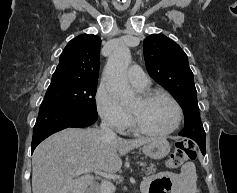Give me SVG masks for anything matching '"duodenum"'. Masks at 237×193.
<instances>
[{"label": "duodenum", "mask_w": 237, "mask_h": 193, "mask_svg": "<svg viewBox=\"0 0 237 193\" xmlns=\"http://www.w3.org/2000/svg\"><path fill=\"white\" fill-rule=\"evenodd\" d=\"M88 193H96L94 189L89 190Z\"/></svg>", "instance_id": "1"}]
</instances>
